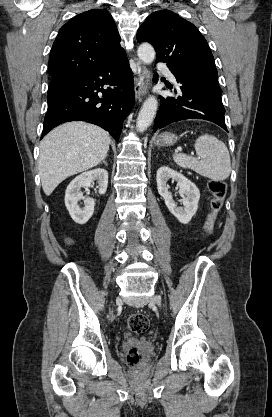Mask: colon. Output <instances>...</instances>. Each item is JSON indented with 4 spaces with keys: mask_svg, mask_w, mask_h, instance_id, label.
I'll use <instances>...</instances> for the list:
<instances>
[{
    "mask_svg": "<svg viewBox=\"0 0 272 417\" xmlns=\"http://www.w3.org/2000/svg\"><path fill=\"white\" fill-rule=\"evenodd\" d=\"M209 190L212 193V199L210 202V212L202 227V235L208 236L214 229L215 221L220 212L226 192L227 184L222 180H211L209 182ZM128 328L134 333H143L148 329V318L141 314L135 313L129 316L127 320ZM143 360V354L138 347H132L127 355V362L130 366H136Z\"/></svg>",
    "mask_w": 272,
    "mask_h": 417,
    "instance_id": "5ec220e1",
    "label": "colon"
}]
</instances>
